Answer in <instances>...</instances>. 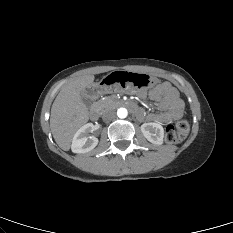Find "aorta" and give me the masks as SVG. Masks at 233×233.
Segmentation results:
<instances>
[{
  "label": "aorta",
  "instance_id": "aorta-1",
  "mask_svg": "<svg viewBox=\"0 0 233 233\" xmlns=\"http://www.w3.org/2000/svg\"><path fill=\"white\" fill-rule=\"evenodd\" d=\"M128 114V111L126 108H119L117 110V116L121 119L126 118Z\"/></svg>",
  "mask_w": 233,
  "mask_h": 233
}]
</instances>
